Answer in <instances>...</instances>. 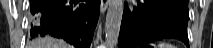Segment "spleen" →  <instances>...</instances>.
Segmentation results:
<instances>
[{
    "label": "spleen",
    "instance_id": "3e777b00",
    "mask_svg": "<svg viewBox=\"0 0 213 48\" xmlns=\"http://www.w3.org/2000/svg\"><path fill=\"white\" fill-rule=\"evenodd\" d=\"M158 48H177V47L171 43L162 42L158 44Z\"/></svg>",
    "mask_w": 213,
    "mask_h": 48
}]
</instances>
